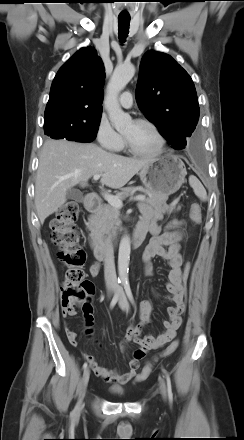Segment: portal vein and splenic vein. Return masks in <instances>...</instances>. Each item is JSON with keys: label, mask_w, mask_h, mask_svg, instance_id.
<instances>
[{"label": "portal vein and splenic vein", "mask_w": 244, "mask_h": 440, "mask_svg": "<svg viewBox=\"0 0 244 440\" xmlns=\"http://www.w3.org/2000/svg\"><path fill=\"white\" fill-rule=\"evenodd\" d=\"M102 175L101 174H95L93 176V179L96 181L98 180ZM103 198L115 209L119 210L123 207L122 200H120L118 197L108 194V193H102ZM135 201H145L146 198L143 195H138L133 198Z\"/></svg>", "instance_id": "portal-vein-and-splenic-vein-1"}]
</instances>
